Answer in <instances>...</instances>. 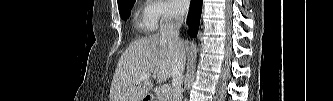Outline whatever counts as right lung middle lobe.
<instances>
[{
	"mask_svg": "<svg viewBox=\"0 0 333 101\" xmlns=\"http://www.w3.org/2000/svg\"><path fill=\"white\" fill-rule=\"evenodd\" d=\"M134 2L135 0H124L118 4L120 16L124 20H127V18L130 16V9L132 8Z\"/></svg>",
	"mask_w": 333,
	"mask_h": 101,
	"instance_id": "obj_1",
	"label": "right lung middle lobe"
}]
</instances>
